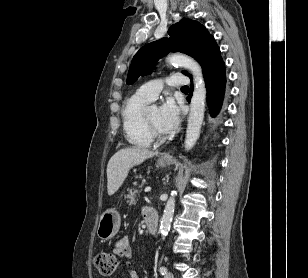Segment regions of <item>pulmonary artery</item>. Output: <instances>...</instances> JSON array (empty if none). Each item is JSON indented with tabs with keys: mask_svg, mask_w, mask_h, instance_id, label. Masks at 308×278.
I'll list each match as a JSON object with an SVG mask.
<instances>
[{
	"mask_svg": "<svg viewBox=\"0 0 308 278\" xmlns=\"http://www.w3.org/2000/svg\"><path fill=\"white\" fill-rule=\"evenodd\" d=\"M167 84L171 87H182L189 84V78L182 74H174L166 80ZM164 82L162 80H153L143 84L137 93L142 97L152 101L156 99L161 90L163 89Z\"/></svg>",
	"mask_w": 308,
	"mask_h": 278,
	"instance_id": "1",
	"label": "pulmonary artery"
}]
</instances>
